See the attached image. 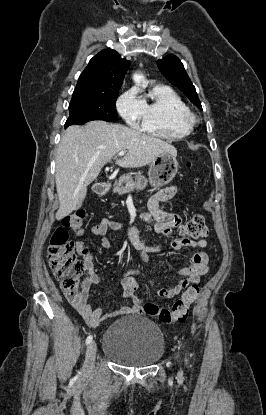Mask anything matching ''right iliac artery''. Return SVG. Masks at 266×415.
Here are the masks:
<instances>
[{
	"label": "right iliac artery",
	"instance_id": "obj_1",
	"mask_svg": "<svg viewBox=\"0 0 266 415\" xmlns=\"http://www.w3.org/2000/svg\"><path fill=\"white\" fill-rule=\"evenodd\" d=\"M92 336L90 335V336H88L87 337V339H86V344H90L91 343V341H92Z\"/></svg>",
	"mask_w": 266,
	"mask_h": 415
}]
</instances>
